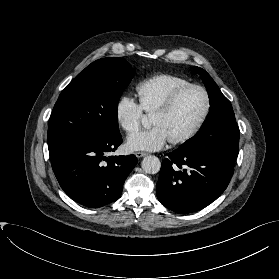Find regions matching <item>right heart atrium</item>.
<instances>
[{
  "label": "right heart atrium",
  "mask_w": 279,
  "mask_h": 279,
  "mask_svg": "<svg viewBox=\"0 0 279 279\" xmlns=\"http://www.w3.org/2000/svg\"><path fill=\"white\" fill-rule=\"evenodd\" d=\"M143 110L131 97L122 95L115 105V119L118 126L127 134L136 132L141 125Z\"/></svg>",
  "instance_id": "d8ad5b80"
}]
</instances>
